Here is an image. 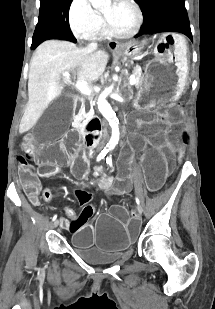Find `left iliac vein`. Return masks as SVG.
Wrapping results in <instances>:
<instances>
[{
    "label": "left iliac vein",
    "instance_id": "obj_1",
    "mask_svg": "<svg viewBox=\"0 0 215 309\" xmlns=\"http://www.w3.org/2000/svg\"><path fill=\"white\" fill-rule=\"evenodd\" d=\"M137 214H138V215H141V214H142V211L137 210Z\"/></svg>",
    "mask_w": 215,
    "mask_h": 309
}]
</instances>
